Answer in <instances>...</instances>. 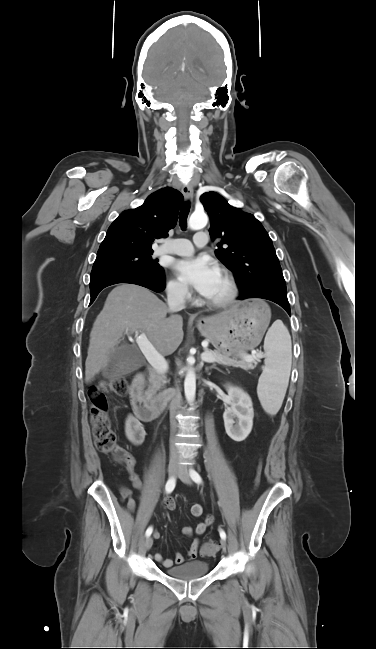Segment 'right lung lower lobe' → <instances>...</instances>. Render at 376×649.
<instances>
[{
  "mask_svg": "<svg viewBox=\"0 0 376 649\" xmlns=\"http://www.w3.org/2000/svg\"><path fill=\"white\" fill-rule=\"evenodd\" d=\"M117 283H131L146 287L155 292L165 288L164 270L158 272L145 270H131L127 268H110L91 274L90 280V304L95 300L99 292L107 286Z\"/></svg>",
  "mask_w": 376,
  "mask_h": 649,
  "instance_id": "98d812e1",
  "label": "right lung lower lobe"
}]
</instances>
